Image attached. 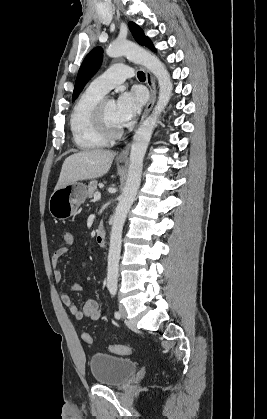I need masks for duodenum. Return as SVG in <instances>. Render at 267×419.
Wrapping results in <instances>:
<instances>
[{"mask_svg":"<svg viewBox=\"0 0 267 419\" xmlns=\"http://www.w3.org/2000/svg\"><path fill=\"white\" fill-rule=\"evenodd\" d=\"M96 243L99 246H104L106 243V233L104 230H98L96 233Z\"/></svg>","mask_w":267,"mask_h":419,"instance_id":"410a0bca","label":"duodenum"}]
</instances>
